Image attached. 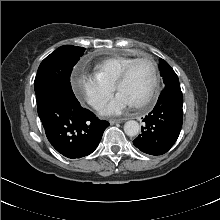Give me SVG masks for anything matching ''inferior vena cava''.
<instances>
[{
	"mask_svg": "<svg viewBox=\"0 0 220 220\" xmlns=\"http://www.w3.org/2000/svg\"><path fill=\"white\" fill-rule=\"evenodd\" d=\"M93 104H94V106L98 107V106L102 105V102L99 100H95V101H93Z\"/></svg>",
	"mask_w": 220,
	"mask_h": 220,
	"instance_id": "obj_1",
	"label": "inferior vena cava"
}]
</instances>
